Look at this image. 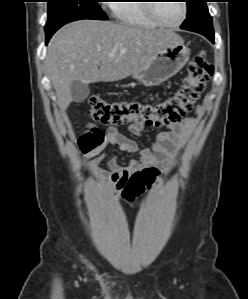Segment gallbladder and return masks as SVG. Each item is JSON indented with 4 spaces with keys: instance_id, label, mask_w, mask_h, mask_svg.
Masks as SVG:
<instances>
[{
    "instance_id": "1",
    "label": "gallbladder",
    "mask_w": 248,
    "mask_h": 299,
    "mask_svg": "<svg viewBox=\"0 0 248 299\" xmlns=\"http://www.w3.org/2000/svg\"><path fill=\"white\" fill-rule=\"evenodd\" d=\"M70 92L75 103H81L85 101L90 93L88 85L81 83L80 81H73L70 86Z\"/></svg>"
}]
</instances>
